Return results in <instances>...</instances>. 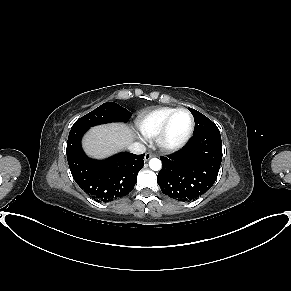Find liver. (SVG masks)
I'll list each match as a JSON object with an SVG mask.
<instances>
[{"label":"liver","instance_id":"1","mask_svg":"<svg viewBox=\"0 0 291 291\" xmlns=\"http://www.w3.org/2000/svg\"><path fill=\"white\" fill-rule=\"evenodd\" d=\"M133 139L129 126L114 123L92 128L83 140V147L88 155L101 158L127 147Z\"/></svg>","mask_w":291,"mask_h":291}]
</instances>
